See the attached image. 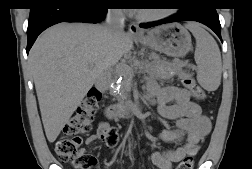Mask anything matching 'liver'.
Returning <instances> with one entry per match:
<instances>
[{"instance_id":"liver-1","label":"liver","mask_w":252,"mask_h":169,"mask_svg":"<svg viewBox=\"0 0 252 169\" xmlns=\"http://www.w3.org/2000/svg\"><path fill=\"white\" fill-rule=\"evenodd\" d=\"M133 39L105 34L103 25L60 23L44 31L29 53L42 122L54 142L93 84L127 56Z\"/></svg>"}]
</instances>
